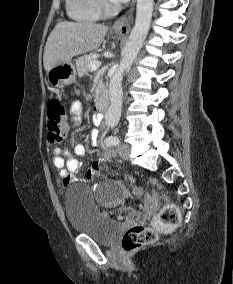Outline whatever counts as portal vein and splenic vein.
I'll list each match as a JSON object with an SVG mask.
<instances>
[{
    "label": "portal vein and splenic vein",
    "instance_id": "1",
    "mask_svg": "<svg viewBox=\"0 0 233 284\" xmlns=\"http://www.w3.org/2000/svg\"><path fill=\"white\" fill-rule=\"evenodd\" d=\"M89 64H90L92 70H97L101 66V62H99L97 60H92V61H90Z\"/></svg>",
    "mask_w": 233,
    "mask_h": 284
}]
</instances>
